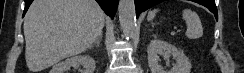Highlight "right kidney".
Wrapping results in <instances>:
<instances>
[{"label": "right kidney", "instance_id": "ca27d5eb", "mask_svg": "<svg viewBox=\"0 0 244 73\" xmlns=\"http://www.w3.org/2000/svg\"><path fill=\"white\" fill-rule=\"evenodd\" d=\"M79 65L84 67L82 73H93L95 70V61L92 57L88 55H79L54 65L50 73H65L70 67L76 68Z\"/></svg>", "mask_w": 244, "mask_h": 73}]
</instances>
